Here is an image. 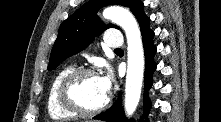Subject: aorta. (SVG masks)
I'll list each match as a JSON object with an SVG mask.
<instances>
[{
  "instance_id": "762f6f07",
  "label": "aorta",
  "mask_w": 221,
  "mask_h": 122,
  "mask_svg": "<svg viewBox=\"0 0 221 122\" xmlns=\"http://www.w3.org/2000/svg\"><path fill=\"white\" fill-rule=\"evenodd\" d=\"M104 18L119 25L127 38V75L125 84V112L130 117L140 100L144 73V51L141 33L136 19L121 6H110L103 12Z\"/></svg>"
}]
</instances>
